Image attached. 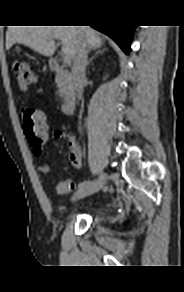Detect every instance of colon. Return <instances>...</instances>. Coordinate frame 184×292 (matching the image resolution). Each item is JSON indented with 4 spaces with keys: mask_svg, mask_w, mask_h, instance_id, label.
Segmentation results:
<instances>
[{
    "mask_svg": "<svg viewBox=\"0 0 184 292\" xmlns=\"http://www.w3.org/2000/svg\"><path fill=\"white\" fill-rule=\"evenodd\" d=\"M17 85L20 90L26 91L38 81V74L33 67L24 60H17L12 65ZM23 129L28 141L36 155L42 153L47 141L48 128L44 114L34 108L22 111Z\"/></svg>",
    "mask_w": 184,
    "mask_h": 292,
    "instance_id": "obj_1",
    "label": "colon"
}]
</instances>
